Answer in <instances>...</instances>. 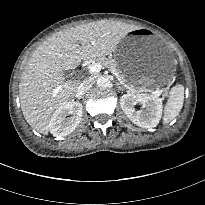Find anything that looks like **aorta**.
I'll use <instances>...</instances> for the list:
<instances>
[{
  "label": "aorta",
  "instance_id": "obj_1",
  "mask_svg": "<svg viewBox=\"0 0 205 205\" xmlns=\"http://www.w3.org/2000/svg\"><path fill=\"white\" fill-rule=\"evenodd\" d=\"M97 85L101 88H106L110 85V80L107 77L100 76L97 78Z\"/></svg>",
  "mask_w": 205,
  "mask_h": 205
}]
</instances>
